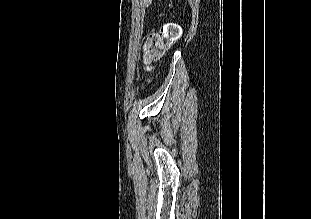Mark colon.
<instances>
[{"label": "colon", "mask_w": 311, "mask_h": 219, "mask_svg": "<svg viewBox=\"0 0 311 219\" xmlns=\"http://www.w3.org/2000/svg\"><path fill=\"white\" fill-rule=\"evenodd\" d=\"M180 36L181 28L174 22L163 25L158 33L150 34L145 43L147 60L160 59Z\"/></svg>", "instance_id": "colon-1"}]
</instances>
